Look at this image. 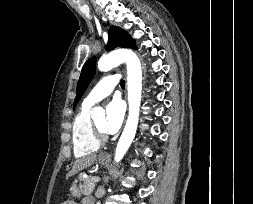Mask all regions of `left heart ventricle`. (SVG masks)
<instances>
[{
  "label": "left heart ventricle",
  "instance_id": "left-heart-ventricle-1",
  "mask_svg": "<svg viewBox=\"0 0 253 204\" xmlns=\"http://www.w3.org/2000/svg\"><path fill=\"white\" fill-rule=\"evenodd\" d=\"M95 124L97 125V127L100 130L105 131L104 130V126H105V118L104 117L95 120Z\"/></svg>",
  "mask_w": 253,
  "mask_h": 204
}]
</instances>
